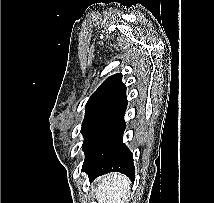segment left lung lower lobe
Listing matches in <instances>:
<instances>
[{
	"label": "left lung lower lobe",
	"instance_id": "left-lung-lower-lobe-1",
	"mask_svg": "<svg viewBox=\"0 0 214 203\" xmlns=\"http://www.w3.org/2000/svg\"><path fill=\"white\" fill-rule=\"evenodd\" d=\"M127 103L125 88L84 135L82 147L86 156L82 171L89 174L90 180L109 172H121L132 181L135 179L133 155L122 140Z\"/></svg>",
	"mask_w": 214,
	"mask_h": 203
}]
</instances>
